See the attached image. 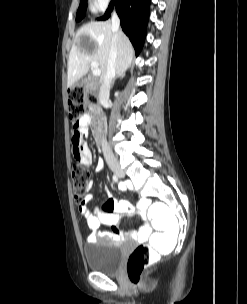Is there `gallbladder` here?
<instances>
[{"instance_id":"obj_1","label":"gallbladder","mask_w":247,"mask_h":304,"mask_svg":"<svg viewBox=\"0 0 247 304\" xmlns=\"http://www.w3.org/2000/svg\"><path fill=\"white\" fill-rule=\"evenodd\" d=\"M84 82H85V79L82 78V79L80 80V84H83Z\"/></svg>"}]
</instances>
